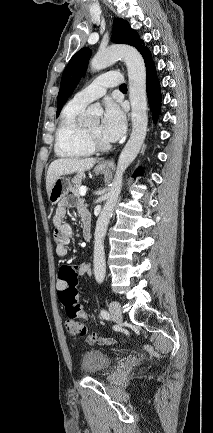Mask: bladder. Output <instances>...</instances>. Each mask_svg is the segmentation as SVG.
Instances as JSON below:
<instances>
[{
    "label": "bladder",
    "instance_id": "31cf9c89",
    "mask_svg": "<svg viewBox=\"0 0 213 433\" xmlns=\"http://www.w3.org/2000/svg\"><path fill=\"white\" fill-rule=\"evenodd\" d=\"M111 358L103 351L91 349L81 358V370L88 375H99L111 367Z\"/></svg>",
    "mask_w": 213,
    "mask_h": 433
}]
</instances>
